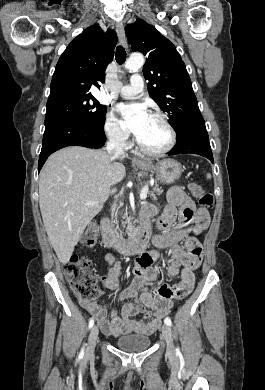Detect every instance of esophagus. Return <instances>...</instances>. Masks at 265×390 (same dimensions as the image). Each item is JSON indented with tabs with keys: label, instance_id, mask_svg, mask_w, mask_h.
I'll list each match as a JSON object with an SVG mask.
<instances>
[{
	"label": "esophagus",
	"instance_id": "obj_1",
	"mask_svg": "<svg viewBox=\"0 0 265 390\" xmlns=\"http://www.w3.org/2000/svg\"><path fill=\"white\" fill-rule=\"evenodd\" d=\"M116 31H117V35H118V39H119V42L120 44L125 48L127 49V40H126V36H125V32H124V26H123V23L122 22H119L116 26ZM135 162H139L140 160L137 159V158H134L133 159Z\"/></svg>",
	"mask_w": 265,
	"mask_h": 390
}]
</instances>
